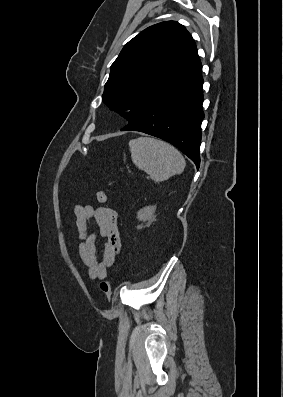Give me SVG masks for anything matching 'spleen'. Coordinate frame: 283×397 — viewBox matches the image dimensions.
<instances>
[{"label":"spleen","instance_id":"3e777b00","mask_svg":"<svg viewBox=\"0 0 283 397\" xmlns=\"http://www.w3.org/2000/svg\"><path fill=\"white\" fill-rule=\"evenodd\" d=\"M129 150L135 166L150 175L154 182H162L181 174L186 162L171 144L151 137L129 141Z\"/></svg>","mask_w":283,"mask_h":397}]
</instances>
